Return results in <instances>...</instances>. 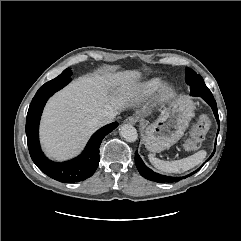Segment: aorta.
Wrapping results in <instances>:
<instances>
[{
    "mask_svg": "<svg viewBox=\"0 0 241 241\" xmlns=\"http://www.w3.org/2000/svg\"><path fill=\"white\" fill-rule=\"evenodd\" d=\"M120 135L128 142H134L138 138V133L132 125L124 124L120 127Z\"/></svg>",
    "mask_w": 241,
    "mask_h": 241,
    "instance_id": "aorta-1",
    "label": "aorta"
}]
</instances>
